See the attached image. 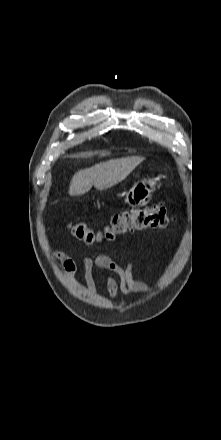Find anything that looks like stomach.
I'll return each instance as SVG.
<instances>
[{
	"instance_id": "stomach-1",
	"label": "stomach",
	"mask_w": 221,
	"mask_h": 440,
	"mask_svg": "<svg viewBox=\"0 0 221 440\" xmlns=\"http://www.w3.org/2000/svg\"><path fill=\"white\" fill-rule=\"evenodd\" d=\"M157 179H141L134 183L126 194V202L131 206H144L151 200V194L156 190Z\"/></svg>"
}]
</instances>
